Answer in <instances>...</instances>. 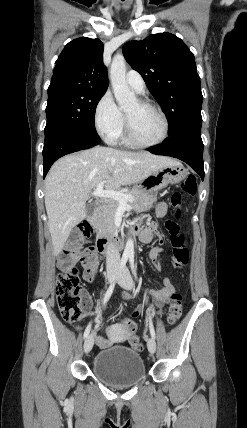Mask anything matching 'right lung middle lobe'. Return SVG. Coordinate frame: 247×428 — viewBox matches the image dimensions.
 <instances>
[{
	"label": "right lung middle lobe",
	"mask_w": 247,
	"mask_h": 428,
	"mask_svg": "<svg viewBox=\"0 0 247 428\" xmlns=\"http://www.w3.org/2000/svg\"><path fill=\"white\" fill-rule=\"evenodd\" d=\"M105 91L65 89L48 93L47 124L44 132L70 129L97 134L94 124L96 106Z\"/></svg>",
	"instance_id": "1"
}]
</instances>
